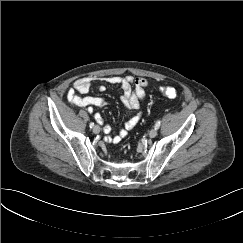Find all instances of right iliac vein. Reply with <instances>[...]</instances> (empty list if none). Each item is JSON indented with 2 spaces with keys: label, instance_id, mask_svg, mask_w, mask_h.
I'll return each mask as SVG.
<instances>
[{
  "label": "right iliac vein",
  "instance_id": "right-iliac-vein-1",
  "mask_svg": "<svg viewBox=\"0 0 243 243\" xmlns=\"http://www.w3.org/2000/svg\"><path fill=\"white\" fill-rule=\"evenodd\" d=\"M100 130H101V128H100V126H98V125H96V126L93 127V132H94L95 134H98V133L100 132Z\"/></svg>",
  "mask_w": 243,
  "mask_h": 243
}]
</instances>
